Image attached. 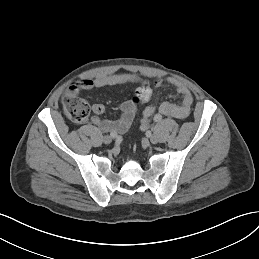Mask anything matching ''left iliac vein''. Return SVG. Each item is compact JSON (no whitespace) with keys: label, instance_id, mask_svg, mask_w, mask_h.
I'll return each mask as SVG.
<instances>
[{"label":"left iliac vein","instance_id":"1","mask_svg":"<svg viewBox=\"0 0 259 259\" xmlns=\"http://www.w3.org/2000/svg\"><path fill=\"white\" fill-rule=\"evenodd\" d=\"M149 142L151 144H156L158 142V137L155 135V134H152L150 137H149Z\"/></svg>","mask_w":259,"mask_h":259}]
</instances>
